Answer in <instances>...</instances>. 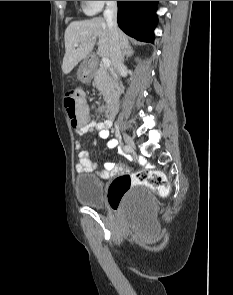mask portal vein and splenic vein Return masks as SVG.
<instances>
[{
  "label": "portal vein and splenic vein",
  "mask_w": 233,
  "mask_h": 295,
  "mask_svg": "<svg viewBox=\"0 0 233 295\" xmlns=\"http://www.w3.org/2000/svg\"><path fill=\"white\" fill-rule=\"evenodd\" d=\"M77 46H78V44H75V47H77ZM102 63L105 68H109L110 64H111L110 60L106 57H102Z\"/></svg>",
  "instance_id": "18ae733b"
}]
</instances>
